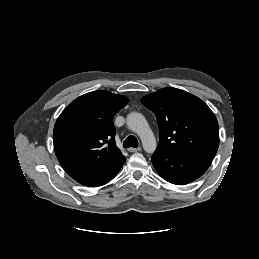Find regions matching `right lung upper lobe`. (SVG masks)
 <instances>
[{
    "mask_svg": "<svg viewBox=\"0 0 259 259\" xmlns=\"http://www.w3.org/2000/svg\"><path fill=\"white\" fill-rule=\"evenodd\" d=\"M129 99L99 90L71 102L53 131L54 150L73 178L97 174L123 158L115 143L114 115Z\"/></svg>",
    "mask_w": 259,
    "mask_h": 259,
    "instance_id": "1",
    "label": "right lung upper lobe"
}]
</instances>
